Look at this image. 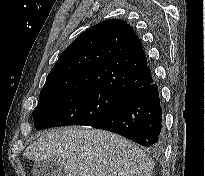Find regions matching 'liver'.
Listing matches in <instances>:
<instances>
[{
  "label": "liver",
  "mask_w": 205,
  "mask_h": 176,
  "mask_svg": "<svg viewBox=\"0 0 205 176\" xmlns=\"http://www.w3.org/2000/svg\"><path fill=\"white\" fill-rule=\"evenodd\" d=\"M27 159L60 163L67 176H151L154 163L138 146L99 129H53L30 144Z\"/></svg>",
  "instance_id": "1"
}]
</instances>
